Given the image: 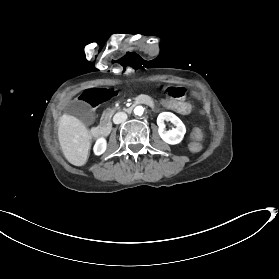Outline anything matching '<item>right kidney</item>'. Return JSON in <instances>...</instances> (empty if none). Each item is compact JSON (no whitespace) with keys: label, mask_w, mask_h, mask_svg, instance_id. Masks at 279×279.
<instances>
[{"label":"right kidney","mask_w":279,"mask_h":279,"mask_svg":"<svg viewBox=\"0 0 279 279\" xmlns=\"http://www.w3.org/2000/svg\"><path fill=\"white\" fill-rule=\"evenodd\" d=\"M107 148V141L104 137H99L93 146V152L95 156L102 155Z\"/></svg>","instance_id":"ca27d5eb"}]
</instances>
